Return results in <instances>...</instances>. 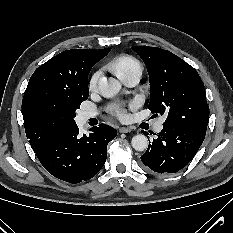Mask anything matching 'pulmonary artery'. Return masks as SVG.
I'll list each match as a JSON object with an SVG mask.
<instances>
[{
    "label": "pulmonary artery",
    "mask_w": 233,
    "mask_h": 233,
    "mask_svg": "<svg viewBox=\"0 0 233 233\" xmlns=\"http://www.w3.org/2000/svg\"><path fill=\"white\" fill-rule=\"evenodd\" d=\"M140 77H141V70L136 69V70H133V71L123 75L120 79L124 84H126L128 86H134L139 82ZM95 115H96L95 112L86 111V112H83L81 114V119L83 121H87L88 119L94 117ZM164 121H165V119L161 118L155 123V125H154V131L155 132H161L162 131Z\"/></svg>",
    "instance_id": "obj_1"
}]
</instances>
